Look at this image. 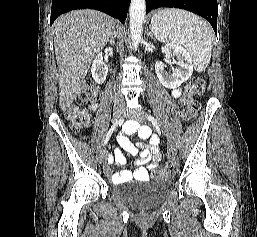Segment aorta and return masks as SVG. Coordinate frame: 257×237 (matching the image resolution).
<instances>
[{"mask_svg":"<svg viewBox=\"0 0 257 237\" xmlns=\"http://www.w3.org/2000/svg\"><path fill=\"white\" fill-rule=\"evenodd\" d=\"M145 7V0H131L129 10L130 34L132 45L135 49H137L139 43L142 41Z\"/></svg>","mask_w":257,"mask_h":237,"instance_id":"aorta-1","label":"aorta"}]
</instances>
